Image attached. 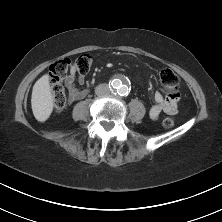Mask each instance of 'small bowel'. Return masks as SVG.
Returning a JSON list of instances; mask_svg holds the SVG:
<instances>
[{
  "label": "small bowel",
  "mask_w": 222,
  "mask_h": 222,
  "mask_svg": "<svg viewBox=\"0 0 222 222\" xmlns=\"http://www.w3.org/2000/svg\"><path fill=\"white\" fill-rule=\"evenodd\" d=\"M68 90L69 100L76 101L84 98L88 91L82 86L85 84V76L77 74L74 68H71L69 75L64 81ZM154 104L150 108L149 116L152 120H158L162 113L173 115L177 113V105L183 101V94L179 90H172L168 94V100L156 91L153 93Z\"/></svg>",
  "instance_id": "c3829d8e"
}]
</instances>
